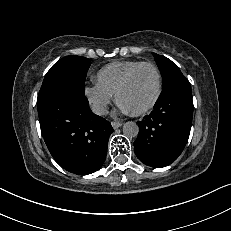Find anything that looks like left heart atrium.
<instances>
[{
	"instance_id": "obj_1",
	"label": "left heart atrium",
	"mask_w": 231,
	"mask_h": 231,
	"mask_svg": "<svg viewBox=\"0 0 231 231\" xmlns=\"http://www.w3.org/2000/svg\"><path fill=\"white\" fill-rule=\"evenodd\" d=\"M119 109L121 112L123 113H130V111L128 109H126L125 107H123L122 105L119 104Z\"/></svg>"
}]
</instances>
